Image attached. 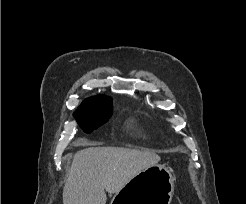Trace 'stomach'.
I'll use <instances>...</instances> for the list:
<instances>
[{
    "label": "stomach",
    "mask_w": 246,
    "mask_h": 204,
    "mask_svg": "<svg viewBox=\"0 0 246 204\" xmlns=\"http://www.w3.org/2000/svg\"><path fill=\"white\" fill-rule=\"evenodd\" d=\"M174 178L161 165L144 169L117 192L110 204H170Z\"/></svg>",
    "instance_id": "0dacf381"
}]
</instances>
